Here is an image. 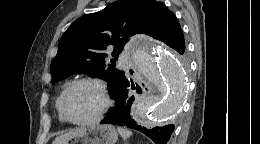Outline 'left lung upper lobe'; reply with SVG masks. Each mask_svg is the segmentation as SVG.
Returning a JSON list of instances; mask_svg holds the SVG:
<instances>
[{
  "mask_svg": "<svg viewBox=\"0 0 260 144\" xmlns=\"http://www.w3.org/2000/svg\"><path fill=\"white\" fill-rule=\"evenodd\" d=\"M181 30L179 21L164 3L155 0H120L103 10L84 15L74 21L59 41L50 72L51 82L73 74H87L108 82L110 95L126 78L115 69V59L128 39L135 34H147L168 43ZM114 46L111 65L105 60L106 47Z\"/></svg>",
  "mask_w": 260,
  "mask_h": 144,
  "instance_id": "obj_1",
  "label": "left lung upper lobe"
}]
</instances>
